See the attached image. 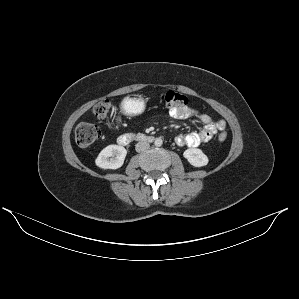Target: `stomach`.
<instances>
[{
	"mask_svg": "<svg viewBox=\"0 0 299 299\" xmlns=\"http://www.w3.org/2000/svg\"><path fill=\"white\" fill-rule=\"evenodd\" d=\"M121 109L127 115L141 114L145 109V101L142 95L129 94L121 102Z\"/></svg>",
	"mask_w": 299,
	"mask_h": 299,
	"instance_id": "0dacf381",
	"label": "stomach"
}]
</instances>
